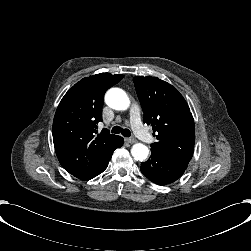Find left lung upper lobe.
Here are the masks:
<instances>
[{"label":"left lung upper lobe","instance_id":"obj_1","mask_svg":"<svg viewBox=\"0 0 251 251\" xmlns=\"http://www.w3.org/2000/svg\"><path fill=\"white\" fill-rule=\"evenodd\" d=\"M136 92L144 112V123L151 125L157 142L152 151L189 162L193 156L195 125L187 102L171 84L157 77L135 76Z\"/></svg>","mask_w":251,"mask_h":251}]
</instances>
